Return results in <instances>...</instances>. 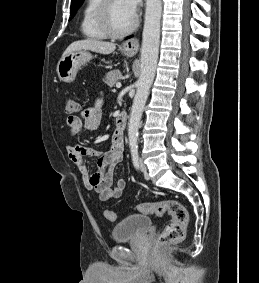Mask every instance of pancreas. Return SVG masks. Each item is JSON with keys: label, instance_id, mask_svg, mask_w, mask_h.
<instances>
[{"label": "pancreas", "instance_id": "cf45deb5", "mask_svg": "<svg viewBox=\"0 0 259 283\" xmlns=\"http://www.w3.org/2000/svg\"><path fill=\"white\" fill-rule=\"evenodd\" d=\"M120 78H121V72L119 70H112L105 75L103 81L109 87H113L115 84L119 82Z\"/></svg>", "mask_w": 259, "mask_h": 283}]
</instances>
